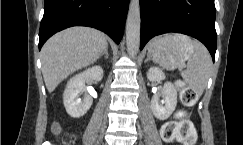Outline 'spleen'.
Returning a JSON list of instances; mask_svg holds the SVG:
<instances>
[{
	"label": "spleen",
	"mask_w": 243,
	"mask_h": 145,
	"mask_svg": "<svg viewBox=\"0 0 243 145\" xmlns=\"http://www.w3.org/2000/svg\"><path fill=\"white\" fill-rule=\"evenodd\" d=\"M193 55L188 59L186 70L181 72L183 80L200 96L203 94L211 71V57L208 50L199 42L192 41Z\"/></svg>",
	"instance_id": "3e777b00"
}]
</instances>
